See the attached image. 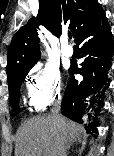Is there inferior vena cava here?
Instances as JSON below:
<instances>
[{"instance_id":"1","label":"inferior vena cava","mask_w":114,"mask_h":156,"mask_svg":"<svg viewBox=\"0 0 114 156\" xmlns=\"http://www.w3.org/2000/svg\"><path fill=\"white\" fill-rule=\"evenodd\" d=\"M61 101H62V96H59L57 102L54 104V106L51 109V115L56 119L60 118L59 112H60ZM66 148L67 146L63 145L60 149L58 156H66Z\"/></svg>"}]
</instances>
